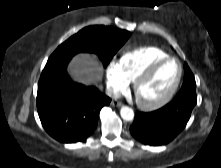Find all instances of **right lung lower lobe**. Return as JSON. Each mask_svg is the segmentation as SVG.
<instances>
[{
	"instance_id": "1",
	"label": "right lung lower lobe",
	"mask_w": 221,
	"mask_h": 168,
	"mask_svg": "<svg viewBox=\"0 0 221 168\" xmlns=\"http://www.w3.org/2000/svg\"><path fill=\"white\" fill-rule=\"evenodd\" d=\"M71 58L48 60L38 83L37 110L46 132L62 143L85 140L96 128L102 107L111 99L97 88L73 82Z\"/></svg>"
}]
</instances>
